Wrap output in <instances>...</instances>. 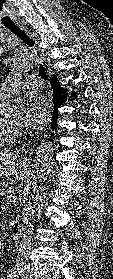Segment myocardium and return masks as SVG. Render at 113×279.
<instances>
[{
    "mask_svg": "<svg viewBox=\"0 0 113 279\" xmlns=\"http://www.w3.org/2000/svg\"><path fill=\"white\" fill-rule=\"evenodd\" d=\"M5 123L12 129H15L18 126V123L13 122L8 116H5Z\"/></svg>",
    "mask_w": 113,
    "mask_h": 279,
    "instance_id": "myocardium-1",
    "label": "myocardium"
}]
</instances>
